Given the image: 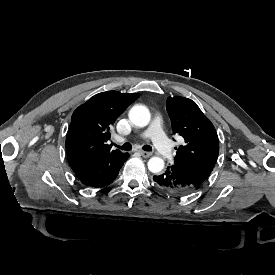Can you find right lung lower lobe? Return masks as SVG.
I'll list each match as a JSON object with an SVG mask.
<instances>
[{"label": "right lung lower lobe", "mask_w": 275, "mask_h": 275, "mask_svg": "<svg viewBox=\"0 0 275 275\" xmlns=\"http://www.w3.org/2000/svg\"><path fill=\"white\" fill-rule=\"evenodd\" d=\"M128 153H111L70 163L76 177L90 187H104L112 183L118 175Z\"/></svg>", "instance_id": "98d812e1"}]
</instances>
